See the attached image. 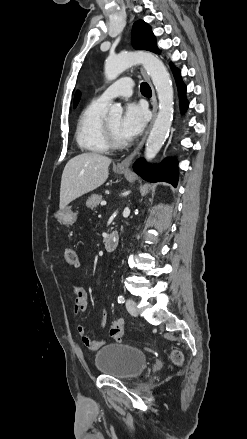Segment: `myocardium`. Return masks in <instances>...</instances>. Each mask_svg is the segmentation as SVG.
<instances>
[{
	"mask_svg": "<svg viewBox=\"0 0 247 439\" xmlns=\"http://www.w3.org/2000/svg\"><path fill=\"white\" fill-rule=\"evenodd\" d=\"M104 137L107 145L112 149H122L128 145L127 141L116 138L107 119L104 120Z\"/></svg>",
	"mask_w": 247,
	"mask_h": 439,
	"instance_id": "1",
	"label": "myocardium"
}]
</instances>
